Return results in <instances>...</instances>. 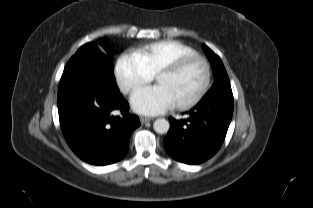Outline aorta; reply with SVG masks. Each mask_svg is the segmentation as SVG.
Returning a JSON list of instances; mask_svg holds the SVG:
<instances>
[{
	"label": "aorta",
	"instance_id": "762f6f07",
	"mask_svg": "<svg viewBox=\"0 0 313 208\" xmlns=\"http://www.w3.org/2000/svg\"><path fill=\"white\" fill-rule=\"evenodd\" d=\"M153 128L157 133L164 134V133L168 132V130L170 128V124L166 119L159 118V119L155 120V122L153 124Z\"/></svg>",
	"mask_w": 313,
	"mask_h": 208
}]
</instances>
